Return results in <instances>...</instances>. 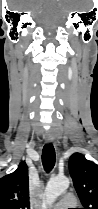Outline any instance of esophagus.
<instances>
[{
  "label": "esophagus",
  "mask_w": 98,
  "mask_h": 209,
  "mask_svg": "<svg viewBox=\"0 0 98 209\" xmlns=\"http://www.w3.org/2000/svg\"><path fill=\"white\" fill-rule=\"evenodd\" d=\"M45 140L47 143H52L54 142V136L51 132H48L45 136Z\"/></svg>",
  "instance_id": "1"
}]
</instances>
